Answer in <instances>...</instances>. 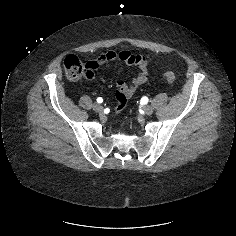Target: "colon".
<instances>
[{
  "mask_svg": "<svg viewBox=\"0 0 236 236\" xmlns=\"http://www.w3.org/2000/svg\"><path fill=\"white\" fill-rule=\"evenodd\" d=\"M64 71L67 78L71 81H78L85 78H91L93 73L87 66V63L82 62L77 56L75 55H68L64 59ZM164 80L169 83L173 84L175 81V75L172 72H166L163 75ZM117 102L120 105L125 103V97L121 94H116Z\"/></svg>",
  "mask_w": 236,
  "mask_h": 236,
  "instance_id": "colon-1",
  "label": "colon"
}]
</instances>
